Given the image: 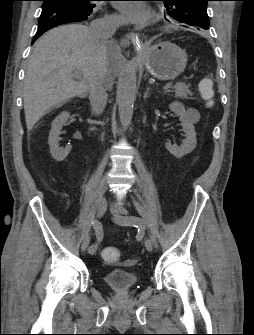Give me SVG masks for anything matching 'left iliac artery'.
Here are the masks:
<instances>
[{
	"label": "left iliac artery",
	"instance_id": "obj_1",
	"mask_svg": "<svg viewBox=\"0 0 254 335\" xmlns=\"http://www.w3.org/2000/svg\"><path fill=\"white\" fill-rule=\"evenodd\" d=\"M124 220L130 222L133 226H135V227H137V228L147 229V232H148V235H149V238H150L152 244H153L155 247H158V243H157V240H156L154 234H153L152 231L147 227V225L145 224V222H144L141 218L136 217V216H129V217L124 218Z\"/></svg>",
	"mask_w": 254,
	"mask_h": 335
}]
</instances>
